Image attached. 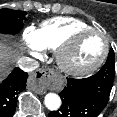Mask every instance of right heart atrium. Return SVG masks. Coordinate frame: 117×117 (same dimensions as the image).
I'll return each instance as SVG.
<instances>
[{
  "label": "right heart atrium",
  "mask_w": 117,
  "mask_h": 117,
  "mask_svg": "<svg viewBox=\"0 0 117 117\" xmlns=\"http://www.w3.org/2000/svg\"><path fill=\"white\" fill-rule=\"evenodd\" d=\"M24 40L32 56L40 57L42 55L43 48L38 42L37 31L35 28L30 27L25 31Z\"/></svg>",
  "instance_id": "right-heart-atrium-1"
}]
</instances>
